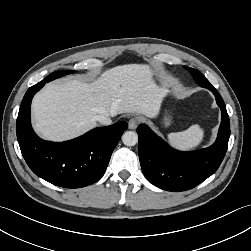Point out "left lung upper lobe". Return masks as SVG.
<instances>
[{"label": "left lung upper lobe", "instance_id": "5c2ea615", "mask_svg": "<svg viewBox=\"0 0 251 251\" xmlns=\"http://www.w3.org/2000/svg\"><path fill=\"white\" fill-rule=\"evenodd\" d=\"M185 69H187L192 76L194 77L195 81L199 84L200 82L202 83H208L209 81L202 75L201 72H199L198 70H195L193 68L184 66Z\"/></svg>", "mask_w": 251, "mask_h": 251}]
</instances>
